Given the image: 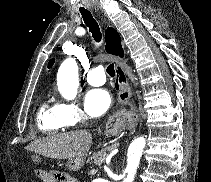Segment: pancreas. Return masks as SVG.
Listing matches in <instances>:
<instances>
[{
  "label": "pancreas",
  "instance_id": "obj_1",
  "mask_svg": "<svg viewBox=\"0 0 211 182\" xmlns=\"http://www.w3.org/2000/svg\"><path fill=\"white\" fill-rule=\"evenodd\" d=\"M115 149V146L108 147L100 152L94 153L87 162L90 163V168L92 170L93 166H100L102 163L105 162L106 157L109 153Z\"/></svg>",
  "mask_w": 211,
  "mask_h": 182
}]
</instances>
